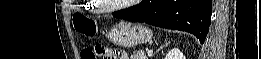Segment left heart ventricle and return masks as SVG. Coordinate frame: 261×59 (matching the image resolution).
I'll return each mask as SVG.
<instances>
[{"mask_svg": "<svg viewBox=\"0 0 261 59\" xmlns=\"http://www.w3.org/2000/svg\"><path fill=\"white\" fill-rule=\"evenodd\" d=\"M128 1L125 0H104V1H99V4L102 7H108V6H116V5H120L121 3H125Z\"/></svg>", "mask_w": 261, "mask_h": 59, "instance_id": "left-heart-ventricle-1", "label": "left heart ventricle"}]
</instances>
